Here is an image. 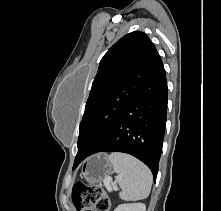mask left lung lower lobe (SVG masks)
<instances>
[{
  "mask_svg": "<svg viewBox=\"0 0 221 211\" xmlns=\"http://www.w3.org/2000/svg\"><path fill=\"white\" fill-rule=\"evenodd\" d=\"M167 89L166 74L159 56L138 93L85 158L98 152L128 153L150 168L155 181L166 126Z\"/></svg>",
  "mask_w": 221,
  "mask_h": 211,
  "instance_id": "1",
  "label": "left lung lower lobe"
}]
</instances>
